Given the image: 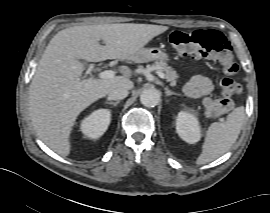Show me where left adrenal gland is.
I'll return each mask as SVG.
<instances>
[{
	"label": "left adrenal gland",
	"instance_id": "a2214340",
	"mask_svg": "<svg viewBox=\"0 0 270 213\" xmlns=\"http://www.w3.org/2000/svg\"><path fill=\"white\" fill-rule=\"evenodd\" d=\"M165 94H166V96L180 95V94H178L176 92H173V91L169 90L167 87L165 88Z\"/></svg>",
	"mask_w": 270,
	"mask_h": 213
}]
</instances>
